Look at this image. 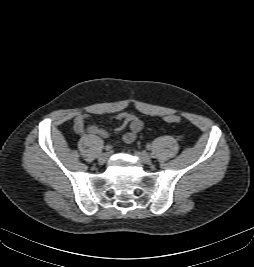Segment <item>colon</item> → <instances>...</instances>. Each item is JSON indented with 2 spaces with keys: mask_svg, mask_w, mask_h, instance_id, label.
Instances as JSON below:
<instances>
[{
  "mask_svg": "<svg viewBox=\"0 0 254 267\" xmlns=\"http://www.w3.org/2000/svg\"><path fill=\"white\" fill-rule=\"evenodd\" d=\"M164 120L167 122V123H177L179 122L180 118L175 115V114H171V115H167Z\"/></svg>",
  "mask_w": 254,
  "mask_h": 267,
  "instance_id": "5ec220e1",
  "label": "colon"
}]
</instances>
